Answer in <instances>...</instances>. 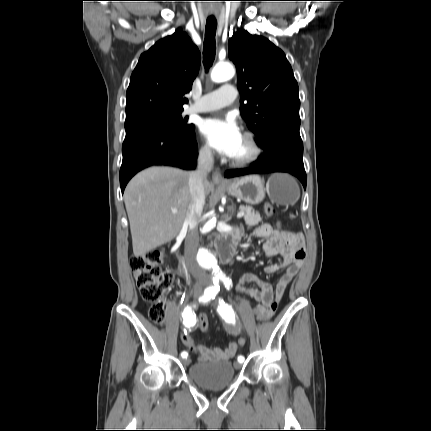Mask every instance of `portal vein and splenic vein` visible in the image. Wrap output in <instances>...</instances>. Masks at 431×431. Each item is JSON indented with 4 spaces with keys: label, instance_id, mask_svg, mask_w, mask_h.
<instances>
[{
    "label": "portal vein and splenic vein",
    "instance_id": "obj_1",
    "mask_svg": "<svg viewBox=\"0 0 431 431\" xmlns=\"http://www.w3.org/2000/svg\"><path fill=\"white\" fill-rule=\"evenodd\" d=\"M172 213H177V210L176 209H172ZM244 211H240L238 214H237V217L238 218H241L242 216H244Z\"/></svg>",
    "mask_w": 431,
    "mask_h": 431
}]
</instances>
